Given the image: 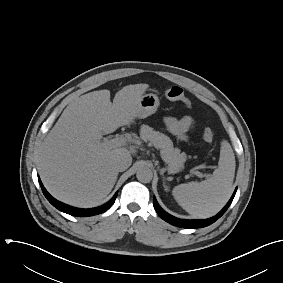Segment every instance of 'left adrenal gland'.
Instances as JSON below:
<instances>
[{"instance_id": "left-adrenal-gland-1", "label": "left adrenal gland", "mask_w": 283, "mask_h": 283, "mask_svg": "<svg viewBox=\"0 0 283 283\" xmlns=\"http://www.w3.org/2000/svg\"><path fill=\"white\" fill-rule=\"evenodd\" d=\"M163 186H164L165 190L167 191L168 187L166 186L165 181L163 182Z\"/></svg>"}]
</instances>
